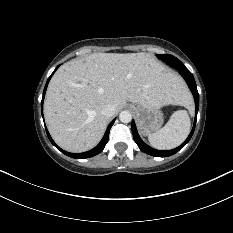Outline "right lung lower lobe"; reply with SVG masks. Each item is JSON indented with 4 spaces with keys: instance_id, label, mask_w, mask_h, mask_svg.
<instances>
[{
    "instance_id": "right-lung-lower-lobe-1",
    "label": "right lung lower lobe",
    "mask_w": 233,
    "mask_h": 233,
    "mask_svg": "<svg viewBox=\"0 0 233 233\" xmlns=\"http://www.w3.org/2000/svg\"><path fill=\"white\" fill-rule=\"evenodd\" d=\"M59 67V66H58ZM57 67V68H58ZM57 68L54 70V72L57 70ZM54 72L51 74V76L48 78L47 80V83L45 85V88H44V91H43V97H42V102H41V109L43 111V100H44V96H45V92H46V89H47V85H48V82L49 80L51 79L52 75L54 74ZM43 116V115H42ZM115 119L110 123V125L108 126L102 140L100 141V143L95 147L93 148L92 150L90 151H87V152H84V153H78V154H75V153H69V152H66L64 150H62L61 148H59L55 143L54 141L52 140L50 134L48 133L47 129H46V132H47V135H48V138L49 140L51 141V143L57 147L62 153H64L65 155L69 156V157H72V158H76V159H83V158H89V157H92V156H95L97 154H99L105 147L107 141H108V138H109V132H110V129L114 123Z\"/></svg>"
}]
</instances>
